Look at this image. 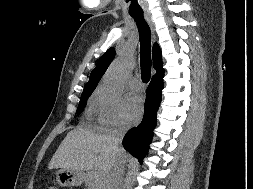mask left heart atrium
Listing matches in <instances>:
<instances>
[{
  "instance_id": "1",
  "label": "left heart atrium",
  "mask_w": 253,
  "mask_h": 189,
  "mask_svg": "<svg viewBox=\"0 0 253 189\" xmlns=\"http://www.w3.org/2000/svg\"><path fill=\"white\" fill-rule=\"evenodd\" d=\"M143 113V101L140 96L131 95L126 99V104L123 112L125 124L137 122Z\"/></svg>"
}]
</instances>
